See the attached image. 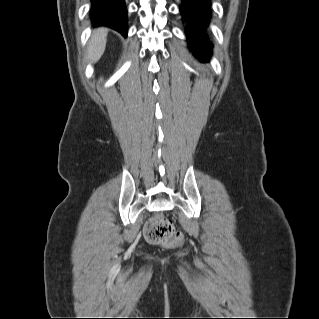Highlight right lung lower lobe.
<instances>
[{
  "label": "right lung lower lobe",
  "mask_w": 319,
  "mask_h": 319,
  "mask_svg": "<svg viewBox=\"0 0 319 319\" xmlns=\"http://www.w3.org/2000/svg\"><path fill=\"white\" fill-rule=\"evenodd\" d=\"M91 21L95 26H107L127 36V10L124 0H91Z\"/></svg>",
  "instance_id": "obj_1"
}]
</instances>
